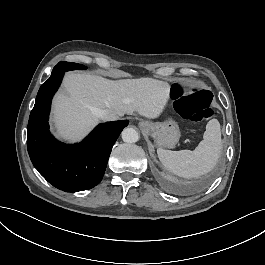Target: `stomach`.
<instances>
[{"instance_id": "stomach-1", "label": "stomach", "mask_w": 265, "mask_h": 265, "mask_svg": "<svg viewBox=\"0 0 265 265\" xmlns=\"http://www.w3.org/2000/svg\"><path fill=\"white\" fill-rule=\"evenodd\" d=\"M142 126L149 125L150 129L146 134H150L154 138V143L158 147L173 148L180 137L177 125L174 122L168 123H151L141 121Z\"/></svg>"}]
</instances>
